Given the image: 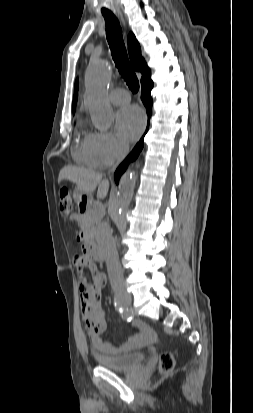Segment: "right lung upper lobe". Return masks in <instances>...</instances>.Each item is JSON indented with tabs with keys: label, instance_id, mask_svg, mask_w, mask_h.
<instances>
[{
	"label": "right lung upper lobe",
	"instance_id": "1",
	"mask_svg": "<svg viewBox=\"0 0 253 413\" xmlns=\"http://www.w3.org/2000/svg\"><path fill=\"white\" fill-rule=\"evenodd\" d=\"M128 51L131 63L136 71L142 73V78L150 74V69L146 65L143 57L141 56V49L138 41L136 40L133 33L128 35ZM78 97V80H76L75 90H74V99H73V111H75V106L77 103Z\"/></svg>",
	"mask_w": 253,
	"mask_h": 413
}]
</instances>
